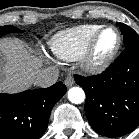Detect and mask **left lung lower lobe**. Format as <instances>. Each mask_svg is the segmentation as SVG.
I'll list each match as a JSON object with an SVG mask.
<instances>
[{
  "label": "left lung lower lobe",
  "mask_w": 139,
  "mask_h": 139,
  "mask_svg": "<svg viewBox=\"0 0 139 139\" xmlns=\"http://www.w3.org/2000/svg\"><path fill=\"white\" fill-rule=\"evenodd\" d=\"M76 83L86 94L85 113L91 127L107 137H121L139 125V45L120 54L103 73Z\"/></svg>",
  "instance_id": "1"
}]
</instances>
